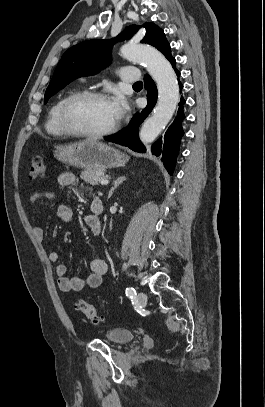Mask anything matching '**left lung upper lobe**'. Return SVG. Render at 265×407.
<instances>
[{"mask_svg":"<svg viewBox=\"0 0 265 407\" xmlns=\"http://www.w3.org/2000/svg\"><path fill=\"white\" fill-rule=\"evenodd\" d=\"M145 37L141 43H147L160 50L170 60L172 57L170 44L165 34L155 24L145 23ZM139 29L138 26H130L123 31L115 40H88L69 48L58 63L49 86L45 92V103L48 99L64 88L74 79L82 76L93 75L110 63L111 47L115 41L125 40Z\"/></svg>","mask_w":265,"mask_h":407,"instance_id":"left-lung-upper-lobe-1","label":"left lung upper lobe"}]
</instances>
